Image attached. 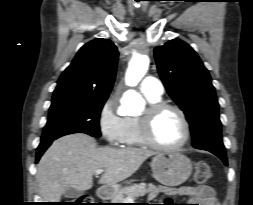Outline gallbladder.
<instances>
[{
    "label": "gallbladder",
    "instance_id": "1",
    "mask_svg": "<svg viewBox=\"0 0 253 205\" xmlns=\"http://www.w3.org/2000/svg\"><path fill=\"white\" fill-rule=\"evenodd\" d=\"M83 194L82 191L76 190L74 188H67L63 194L66 198H78Z\"/></svg>",
    "mask_w": 253,
    "mask_h": 205
}]
</instances>
